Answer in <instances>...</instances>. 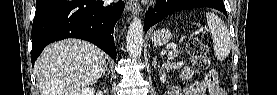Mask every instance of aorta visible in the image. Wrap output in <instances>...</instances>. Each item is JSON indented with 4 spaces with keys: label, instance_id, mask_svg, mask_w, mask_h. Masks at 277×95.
Masks as SVG:
<instances>
[{
    "label": "aorta",
    "instance_id": "obj_1",
    "mask_svg": "<svg viewBox=\"0 0 277 95\" xmlns=\"http://www.w3.org/2000/svg\"><path fill=\"white\" fill-rule=\"evenodd\" d=\"M143 47V25L139 18H134L130 23L126 36V49L132 58L141 55Z\"/></svg>",
    "mask_w": 277,
    "mask_h": 95
}]
</instances>
